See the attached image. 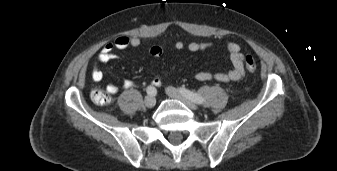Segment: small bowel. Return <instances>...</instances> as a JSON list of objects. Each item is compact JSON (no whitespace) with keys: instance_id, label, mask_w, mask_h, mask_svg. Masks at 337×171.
<instances>
[{"instance_id":"obj_1","label":"small bowel","mask_w":337,"mask_h":171,"mask_svg":"<svg viewBox=\"0 0 337 171\" xmlns=\"http://www.w3.org/2000/svg\"><path fill=\"white\" fill-rule=\"evenodd\" d=\"M140 45L141 40L138 37L120 35L116 37L113 42L107 43L101 49L97 57V63L104 64L110 62L111 60H114L117 57L115 54L116 50L137 48ZM224 46L230 55L232 68L228 71L218 72L199 71L195 75V78L198 81L204 82L217 80L220 82H237L244 77V54L242 52L241 46L238 43L232 41L225 42ZM184 47L185 45L182 41H176L174 43V48L176 50H182ZM187 47L190 51L196 52L214 49L215 45L212 42H190ZM149 52L151 56L158 58L162 55V48L160 46L154 45L150 48ZM91 77L95 82H100L102 81L104 75L103 72L95 66L92 70ZM162 82L163 77L160 74H157L152 80V84L155 87H160L162 85ZM123 85L125 88H132L135 86V83L131 80H125ZM106 92L112 95L116 94L118 92V86L115 84H108L106 86Z\"/></svg>"}]
</instances>
